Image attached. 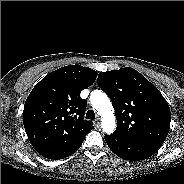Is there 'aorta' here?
<instances>
[{
  "mask_svg": "<svg viewBox=\"0 0 184 184\" xmlns=\"http://www.w3.org/2000/svg\"><path fill=\"white\" fill-rule=\"evenodd\" d=\"M91 104L102 117V129L105 133L111 134L115 130V117L112 103L108 96L101 91H94L91 94Z\"/></svg>",
  "mask_w": 184,
  "mask_h": 184,
  "instance_id": "obj_1",
  "label": "aorta"
}]
</instances>
